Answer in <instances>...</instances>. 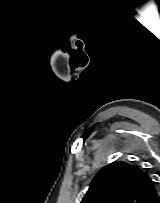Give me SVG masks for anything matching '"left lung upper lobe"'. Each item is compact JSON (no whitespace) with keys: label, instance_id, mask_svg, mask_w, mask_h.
<instances>
[{"label":"left lung upper lobe","instance_id":"obj_1","mask_svg":"<svg viewBox=\"0 0 160 203\" xmlns=\"http://www.w3.org/2000/svg\"><path fill=\"white\" fill-rule=\"evenodd\" d=\"M154 182L141 168L113 162L94 177L81 203H159Z\"/></svg>","mask_w":160,"mask_h":203}]
</instances>
